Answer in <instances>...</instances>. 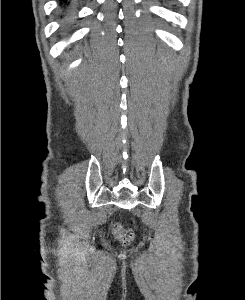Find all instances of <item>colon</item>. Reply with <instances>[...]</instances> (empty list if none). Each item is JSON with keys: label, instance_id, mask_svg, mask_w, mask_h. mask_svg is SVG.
I'll return each mask as SVG.
<instances>
[{"label": "colon", "instance_id": "1", "mask_svg": "<svg viewBox=\"0 0 245 300\" xmlns=\"http://www.w3.org/2000/svg\"><path fill=\"white\" fill-rule=\"evenodd\" d=\"M112 232L123 244H128L133 239L132 230L123 227L120 223L113 224Z\"/></svg>", "mask_w": 245, "mask_h": 300}]
</instances>
